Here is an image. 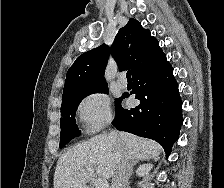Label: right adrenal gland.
I'll return each mask as SVG.
<instances>
[{
  "label": "right adrenal gland",
  "mask_w": 224,
  "mask_h": 188,
  "mask_svg": "<svg viewBox=\"0 0 224 188\" xmlns=\"http://www.w3.org/2000/svg\"><path fill=\"white\" fill-rule=\"evenodd\" d=\"M150 159H153V160L156 161L158 158H157V157L148 158V160H150ZM140 161H141V159H136V160L133 161V163H132V167H131V174H130V175H132V173H133V168H134V166H135L137 163H139Z\"/></svg>",
  "instance_id": "right-adrenal-gland-1"
}]
</instances>
